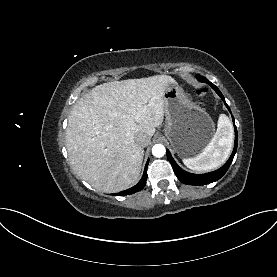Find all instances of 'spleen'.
<instances>
[{
    "instance_id": "obj_1",
    "label": "spleen",
    "mask_w": 277,
    "mask_h": 277,
    "mask_svg": "<svg viewBox=\"0 0 277 277\" xmlns=\"http://www.w3.org/2000/svg\"><path fill=\"white\" fill-rule=\"evenodd\" d=\"M233 145V128L229 118L221 114L217 130L210 143L194 158H184L189 169L202 172L213 170L222 165L229 157Z\"/></svg>"
}]
</instances>
